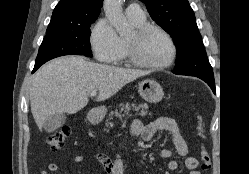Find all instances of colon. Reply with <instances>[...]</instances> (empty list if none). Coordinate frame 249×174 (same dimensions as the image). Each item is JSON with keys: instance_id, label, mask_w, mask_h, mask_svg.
<instances>
[{"instance_id": "5ec220e1", "label": "colon", "mask_w": 249, "mask_h": 174, "mask_svg": "<svg viewBox=\"0 0 249 174\" xmlns=\"http://www.w3.org/2000/svg\"><path fill=\"white\" fill-rule=\"evenodd\" d=\"M196 133L200 138H203L202 119L200 115L196 116ZM70 136V128L64 126L55 130L47 138L46 143L52 151H58L65 145L67 138ZM201 169L206 172L210 169L211 159L208 151L202 146L199 150Z\"/></svg>"}]
</instances>
